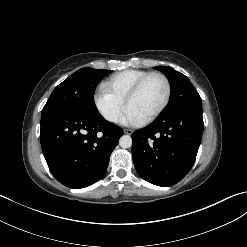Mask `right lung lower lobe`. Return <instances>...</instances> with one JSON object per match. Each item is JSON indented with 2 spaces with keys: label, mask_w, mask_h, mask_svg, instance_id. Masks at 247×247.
<instances>
[{
  "label": "right lung lower lobe",
  "mask_w": 247,
  "mask_h": 247,
  "mask_svg": "<svg viewBox=\"0 0 247 247\" xmlns=\"http://www.w3.org/2000/svg\"><path fill=\"white\" fill-rule=\"evenodd\" d=\"M122 134L99 112L58 107L41 114L44 157L53 176L70 188L90 186L104 175Z\"/></svg>",
  "instance_id": "98d812e1"
}]
</instances>
